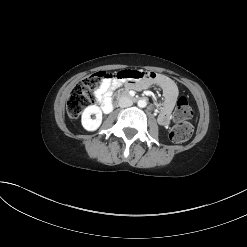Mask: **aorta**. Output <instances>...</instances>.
<instances>
[{"mask_svg":"<svg viewBox=\"0 0 247 247\" xmlns=\"http://www.w3.org/2000/svg\"><path fill=\"white\" fill-rule=\"evenodd\" d=\"M137 105H138L139 107H141V108H144V107H146L147 102H146L145 99H141V100H139V101L137 102Z\"/></svg>","mask_w":247,"mask_h":247,"instance_id":"aorta-1","label":"aorta"}]
</instances>
